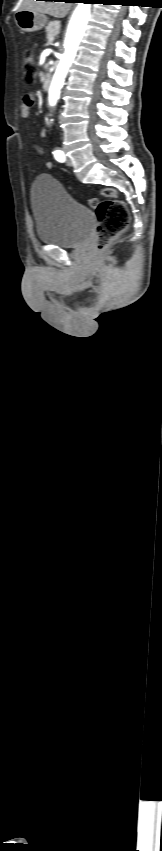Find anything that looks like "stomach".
Segmentation results:
<instances>
[{
	"instance_id": "0dacf381",
	"label": "stomach",
	"mask_w": 162,
	"mask_h": 851,
	"mask_svg": "<svg viewBox=\"0 0 162 851\" xmlns=\"http://www.w3.org/2000/svg\"><path fill=\"white\" fill-rule=\"evenodd\" d=\"M15 22L22 32H34L45 26L47 18L31 10H19L15 15Z\"/></svg>"
}]
</instances>
